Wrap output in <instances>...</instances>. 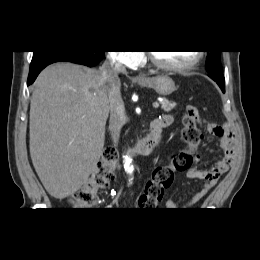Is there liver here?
I'll return each mask as SVG.
<instances>
[{"label":"liver","instance_id":"liver-1","mask_svg":"<svg viewBox=\"0 0 260 260\" xmlns=\"http://www.w3.org/2000/svg\"><path fill=\"white\" fill-rule=\"evenodd\" d=\"M109 114L101 72L70 62L46 67L33 85L30 155L47 192L64 199L100 159Z\"/></svg>","mask_w":260,"mask_h":260}]
</instances>
